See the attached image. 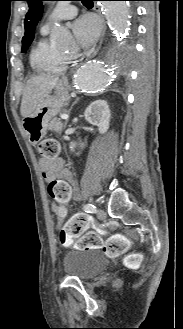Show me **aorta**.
I'll return each mask as SVG.
<instances>
[{
  "label": "aorta",
  "mask_w": 183,
  "mask_h": 329,
  "mask_svg": "<svg viewBox=\"0 0 183 329\" xmlns=\"http://www.w3.org/2000/svg\"><path fill=\"white\" fill-rule=\"evenodd\" d=\"M101 7L108 19L113 32L117 37H122L128 33L130 25V2L128 1H102ZM52 39L59 46H67L70 42L69 31L60 25L54 26L51 32ZM113 62L105 60L102 62H91L83 65L76 73L74 83L83 92H98L106 89L110 82V72ZM76 147L75 143H70V149Z\"/></svg>",
  "instance_id": "aorta-1"
}]
</instances>
